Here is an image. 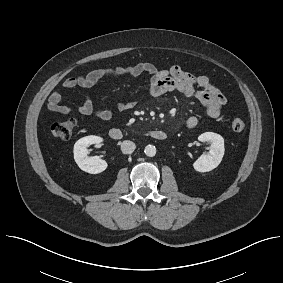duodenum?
I'll use <instances>...</instances> for the list:
<instances>
[{
  "mask_svg": "<svg viewBox=\"0 0 283 283\" xmlns=\"http://www.w3.org/2000/svg\"><path fill=\"white\" fill-rule=\"evenodd\" d=\"M126 135H127L126 132H124L120 129H117V128H113L109 131V136L113 140L123 139ZM150 136L155 140L161 141V140H165L167 138V133L165 131H162V130H155V131H152L150 133Z\"/></svg>",
  "mask_w": 283,
  "mask_h": 283,
  "instance_id": "410a0bca",
  "label": "duodenum"
}]
</instances>
